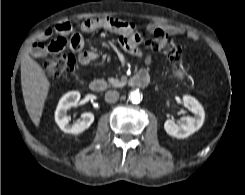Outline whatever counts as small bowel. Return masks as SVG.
Here are the masks:
<instances>
[{
	"instance_id": "c3829d8e",
	"label": "small bowel",
	"mask_w": 245,
	"mask_h": 195,
	"mask_svg": "<svg viewBox=\"0 0 245 195\" xmlns=\"http://www.w3.org/2000/svg\"><path fill=\"white\" fill-rule=\"evenodd\" d=\"M81 27L87 32L106 30L117 34L119 36V44L125 51L142 58L147 65L152 63V56L140 50L143 34L133 23L115 17H96L85 19ZM147 29L148 31L163 30L172 34H185L192 41H201V37L196 32L184 31L182 28L167 24L152 23ZM54 30L59 36L48 44H45L44 41L52 36V29L45 30L39 40L32 44L31 54L34 57L40 58L49 53H59L68 46L71 50L78 53V61L83 67L99 60L100 55L96 51L83 50L84 40L81 35L74 34L69 41L66 40L65 36L72 31V25L69 22L58 23Z\"/></svg>"
}]
</instances>
